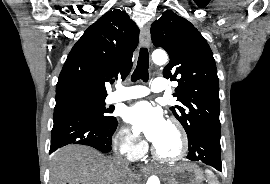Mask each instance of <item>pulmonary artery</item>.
Returning a JSON list of instances; mask_svg holds the SVG:
<instances>
[{
    "label": "pulmonary artery",
    "mask_w": 270,
    "mask_h": 184,
    "mask_svg": "<svg viewBox=\"0 0 270 184\" xmlns=\"http://www.w3.org/2000/svg\"><path fill=\"white\" fill-rule=\"evenodd\" d=\"M166 88L167 82L164 78H155L152 82L150 89L141 85L120 87L117 91L113 92L109 96V101L111 103H115L120 101L136 99L148 95L150 91L155 93L164 92Z\"/></svg>",
    "instance_id": "pulmonary-artery-1"
}]
</instances>
